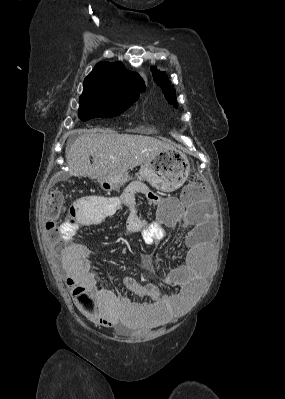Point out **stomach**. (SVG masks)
Returning a JSON list of instances; mask_svg holds the SVG:
<instances>
[{
	"label": "stomach",
	"instance_id": "stomach-1",
	"mask_svg": "<svg viewBox=\"0 0 285 399\" xmlns=\"http://www.w3.org/2000/svg\"><path fill=\"white\" fill-rule=\"evenodd\" d=\"M190 171L187 156L177 149L158 152L150 161L141 165L139 178L146 180L154 188L171 192L183 185ZM128 181L127 175L120 178L106 176L99 180L102 189L112 191Z\"/></svg>",
	"mask_w": 285,
	"mask_h": 399
}]
</instances>
